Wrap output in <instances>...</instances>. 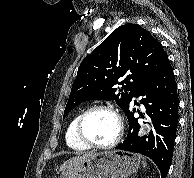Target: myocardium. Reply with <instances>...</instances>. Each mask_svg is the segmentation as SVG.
I'll list each match as a JSON object with an SVG mask.
<instances>
[{"label":"myocardium","mask_w":194,"mask_h":178,"mask_svg":"<svg viewBox=\"0 0 194 178\" xmlns=\"http://www.w3.org/2000/svg\"><path fill=\"white\" fill-rule=\"evenodd\" d=\"M96 110H103L106 112H109L110 114H112L116 121H117V125H118V130H117V134L114 137V139L106 144H96L91 142L90 140H88L82 130V126H83V122L86 118V116L88 114H90L93 111ZM123 132H124V123H123V119L120 115V113L111 105H103V104H97V105H92L90 107H88L87 109H85L78 117L77 122H76V126H75V134L77 139L84 144L85 146H87L88 148H95V149H110L113 148L114 146H116L122 136H123Z\"/></svg>","instance_id":"obj_1"}]
</instances>
